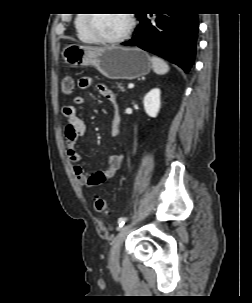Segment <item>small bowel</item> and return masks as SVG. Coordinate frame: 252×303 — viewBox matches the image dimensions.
Masks as SVG:
<instances>
[{
  "instance_id": "small-bowel-1",
  "label": "small bowel",
  "mask_w": 252,
  "mask_h": 303,
  "mask_svg": "<svg viewBox=\"0 0 252 303\" xmlns=\"http://www.w3.org/2000/svg\"><path fill=\"white\" fill-rule=\"evenodd\" d=\"M93 83L91 77L85 76L80 78L78 84L81 89L89 88ZM97 91L106 97L108 101L114 106L115 113L111 126V133L113 136H117L120 132L121 117L119 113L118 99L111 89L103 83L96 84ZM74 105L80 106L85 103V98L82 95H76L73 97ZM63 114L66 118V124L64 129L65 144L68 155L72 161H79L80 154L77 147L78 139L86 132V125L84 121L78 116L75 106L66 105L63 108ZM124 161V154L122 152L115 153L109 156L107 166L95 171L93 173L86 172L80 165L75 164L73 166V172L77 180L87 186L94 187L102 184L103 182L113 179L118 170L120 169ZM102 177V179H101Z\"/></svg>"
}]
</instances>
